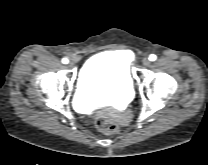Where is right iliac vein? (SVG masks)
<instances>
[{"mask_svg":"<svg viewBox=\"0 0 208 165\" xmlns=\"http://www.w3.org/2000/svg\"><path fill=\"white\" fill-rule=\"evenodd\" d=\"M68 66L72 68L73 67V62H69Z\"/></svg>","mask_w":208,"mask_h":165,"instance_id":"1","label":"right iliac vein"}]
</instances>
